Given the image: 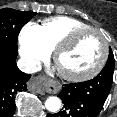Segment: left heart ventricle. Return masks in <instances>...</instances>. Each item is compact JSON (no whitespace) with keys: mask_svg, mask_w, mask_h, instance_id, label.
Listing matches in <instances>:
<instances>
[{"mask_svg":"<svg viewBox=\"0 0 117 117\" xmlns=\"http://www.w3.org/2000/svg\"><path fill=\"white\" fill-rule=\"evenodd\" d=\"M103 52L101 38L95 33H84L58 59V68L66 73L81 74L92 69Z\"/></svg>","mask_w":117,"mask_h":117,"instance_id":"left-heart-ventricle-1","label":"left heart ventricle"}]
</instances>
